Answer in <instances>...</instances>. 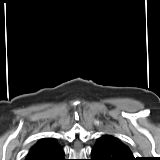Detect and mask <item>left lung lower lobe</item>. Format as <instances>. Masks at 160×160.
<instances>
[{
	"label": "left lung lower lobe",
	"instance_id": "obj_1",
	"mask_svg": "<svg viewBox=\"0 0 160 160\" xmlns=\"http://www.w3.org/2000/svg\"><path fill=\"white\" fill-rule=\"evenodd\" d=\"M91 160H136L131 151L118 138L103 135L91 151Z\"/></svg>",
	"mask_w": 160,
	"mask_h": 160
}]
</instances>
